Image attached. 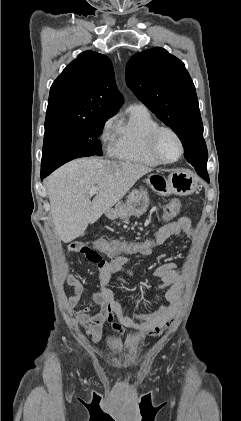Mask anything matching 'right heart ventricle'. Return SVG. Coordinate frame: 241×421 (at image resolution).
<instances>
[{"label":"right heart ventricle","mask_w":241,"mask_h":421,"mask_svg":"<svg viewBox=\"0 0 241 421\" xmlns=\"http://www.w3.org/2000/svg\"><path fill=\"white\" fill-rule=\"evenodd\" d=\"M159 126L149 110L141 105L128 108L127 117L116 124L112 134L110 153L119 160L158 166L160 162L151 154L148 140Z\"/></svg>","instance_id":"e07e8e85"}]
</instances>
